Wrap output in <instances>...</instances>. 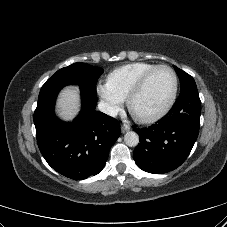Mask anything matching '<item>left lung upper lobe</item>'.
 Returning <instances> with one entry per match:
<instances>
[{
	"label": "left lung upper lobe",
	"instance_id": "1",
	"mask_svg": "<svg viewBox=\"0 0 227 227\" xmlns=\"http://www.w3.org/2000/svg\"><path fill=\"white\" fill-rule=\"evenodd\" d=\"M174 68L180 79L181 85L180 93L190 88L194 87L196 88V84L192 76H190L189 74H187L186 72H184L183 70L179 69L176 66H174Z\"/></svg>",
	"mask_w": 227,
	"mask_h": 227
}]
</instances>
